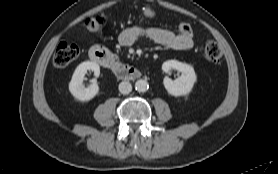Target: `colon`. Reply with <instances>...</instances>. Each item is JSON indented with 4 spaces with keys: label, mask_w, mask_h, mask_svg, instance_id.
<instances>
[{
    "label": "colon",
    "mask_w": 278,
    "mask_h": 174,
    "mask_svg": "<svg viewBox=\"0 0 278 174\" xmlns=\"http://www.w3.org/2000/svg\"><path fill=\"white\" fill-rule=\"evenodd\" d=\"M146 16L153 17L154 13L150 9H146ZM106 20L103 16L98 15L94 17H89L85 20L86 28L95 32L101 29ZM179 33L185 36H192V28L188 23H181L178 27ZM205 57L213 63H219L222 58V49L220 45L214 41H209L206 43L204 48ZM79 55V48L75 44L61 42L55 49L53 54V64L56 67H65L74 61Z\"/></svg>",
    "instance_id": "1"
}]
</instances>
